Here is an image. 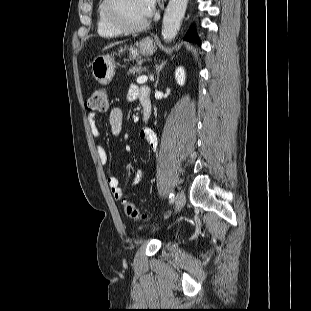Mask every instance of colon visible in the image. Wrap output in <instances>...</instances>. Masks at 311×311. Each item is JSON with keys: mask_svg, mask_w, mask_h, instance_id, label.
Masks as SVG:
<instances>
[{"mask_svg": "<svg viewBox=\"0 0 311 311\" xmlns=\"http://www.w3.org/2000/svg\"><path fill=\"white\" fill-rule=\"evenodd\" d=\"M87 109L94 112H105L109 107L107 92L102 87H96L87 101ZM122 205L125 214L131 219H146V215L141 213L138 208L129 200H123Z\"/></svg>", "mask_w": 311, "mask_h": 311, "instance_id": "5ec220e1", "label": "colon"}]
</instances>
